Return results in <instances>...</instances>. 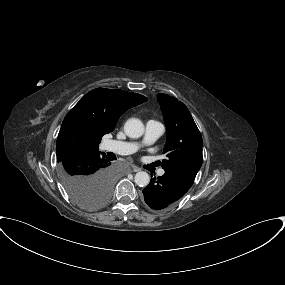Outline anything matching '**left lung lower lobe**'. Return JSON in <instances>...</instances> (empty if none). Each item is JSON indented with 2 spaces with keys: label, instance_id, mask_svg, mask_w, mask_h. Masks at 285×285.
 <instances>
[{
  "label": "left lung lower lobe",
  "instance_id": "1",
  "mask_svg": "<svg viewBox=\"0 0 285 285\" xmlns=\"http://www.w3.org/2000/svg\"><path fill=\"white\" fill-rule=\"evenodd\" d=\"M190 188L178 179L165 173L163 176L152 178L150 184L143 189L146 204L154 210H162L172 206Z\"/></svg>",
  "mask_w": 285,
  "mask_h": 285
}]
</instances>
